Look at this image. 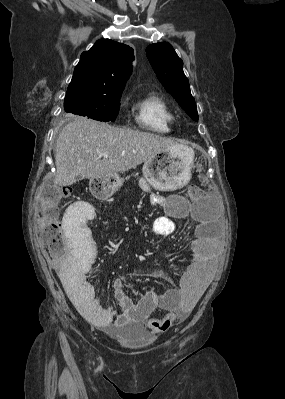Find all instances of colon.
<instances>
[{
	"label": "colon",
	"mask_w": 285,
	"mask_h": 399,
	"mask_svg": "<svg viewBox=\"0 0 285 399\" xmlns=\"http://www.w3.org/2000/svg\"><path fill=\"white\" fill-rule=\"evenodd\" d=\"M205 181V178H202ZM96 193L95 187H92ZM68 192L56 185L46 187L40 197L38 205V234L44 239L47 250L57 262L64 263L70 252L74 254L77 247H69L62 224L58 220V208L66 198ZM188 196L192 200H198L203 196V190L198 186H192L188 190ZM91 221V218H88ZM92 252V249H90ZM155 321H149V326H154Z\"/></svg>",
	"instance_id": "1"
}]
</instances>
